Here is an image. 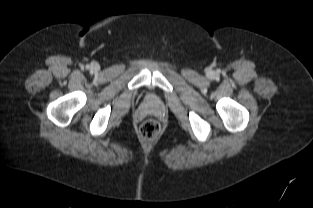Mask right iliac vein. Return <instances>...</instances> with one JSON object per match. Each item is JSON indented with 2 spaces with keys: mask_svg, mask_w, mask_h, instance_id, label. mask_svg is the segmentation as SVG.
Masks as SVG:
<instances>
[{
  "mask_svg": "<svg viewBox=\"0 0 313 208\" xmlns=\"http://www.w3.org/2000/svg\"><path fill=\"white\" fill-rule=\"evenodd\" d=\"M90 68H91V70H96L98 68V64L92 63Z\"/></svg>",
  "mask_w": 313,
  "mask_h": 208,
  "instance_id": "obj_1",
  "label": "right iliac vein"
}]
</instances>
